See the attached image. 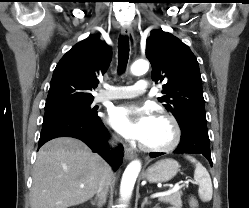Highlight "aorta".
<instances>
[{
	"label": "aorta",
	"mask_w": 249,
	"mask_h": 208,
	"mask_svg": "<svg viewBox=\"0 0 249 208\" xmlns=\"http://www.w3.org/2000/svg\"><path fill=\"white\" fill-rule=\"evenodd\" d=\"M149 69V63L146 60H137L131 66V72L134 75H143ZM141 170V162L134 160L126 167L120 184V197L124 201L131 198L136 179Z\"/></svg>",
	"instance_id": "aorta-1"
}]
</instances>
